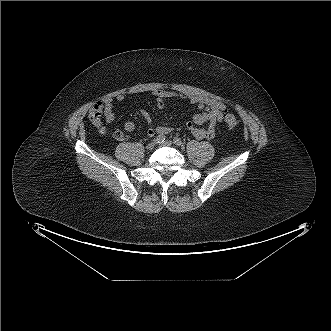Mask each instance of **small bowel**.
I'll use <instances>...</instances> for the list:
<instances>
[{"label":"small bowel","instance_id":"c3829d8e","mask_svg":"<svg viewBox=\"0 0 331 331\" xmlns=\"http://www.w3.org/2000/svg\"><path fill=\"white\" fill-rule=\"evenodd\" d=\"M150 94L155 99V104L159 109H164L170 100L184 99L197 106L201 110L193 116L192 121L186 123V129L197 139H211L215 135L216 127L222 119V111L224 110V103L207 96H199L188 92L177 93L164 89H153ZM123 94L116 96H106L102 101L96 103L90 110L89 119L93 125L99 126L101 124V116L107 123H112L115 119L114 102H121L124 100ZM140 114L145 119L147 124V134L149 136L167 135L172 132L173 128L166 125L153 126L150 113L145 109H140ZM207 124L206 127H203ZM126 132L135 130V124L132 121H127L124 124ZM113 136L118 139H124L121 131H114Z\"/></svg>","mask_w":331,"mask_h":331}]
</instances>
